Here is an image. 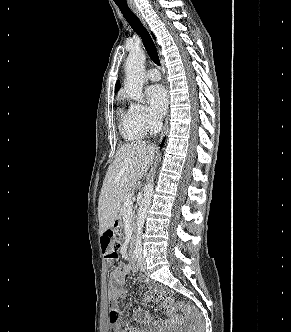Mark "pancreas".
Listing matches in <instances>:
<instances>
[{
    "instance_id": "pancreas-1",
    "label": "pancreas",
    "mask_w": 291,
    "mask_h": 332,
    "mask_svg": "<svg viewBox=\"0 0 291 332\" xmlns=\"http://www.w3.org/2000/svg\"><path fill=\"white\" fill-rule=\"evenodd\" d=\"M129 193H125L124 194V196L122 197V200H121V206H120V211H121V213H123L124 211H125V205H124V201H125V199H126V197H127V195H128Z\"/></svg>"
}]
</instances>
